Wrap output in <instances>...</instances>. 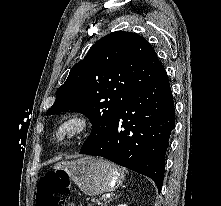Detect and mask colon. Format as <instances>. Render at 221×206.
<instances>
[{
    "mask_svg": "<svg viewBox=\"0 0 221 206\" xmlns=\"http://www.w3.org/2000/svg\"><path fill=\"white\" fill-rule=\"evenodd\" d=\"M50 172L40 179L36 206H68L70 189L65 176Z\"/></svg>",
    "mask_w": 221,
    "mask_h": 206,
    "instance_id": "1",
    "label": "colon"
}]
</instances>
